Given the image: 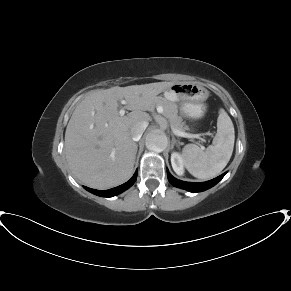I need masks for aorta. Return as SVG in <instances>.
<instances>
[{
    "label": "aorta",
    "mask_w": 291,
    "mask_h": 291,
    "mask_svg": "<svg viewBox=\"0 0 291 291\" xmlns=\"http://www.w3.org/2000/svg\"><path fill=\"white\" fill-rule=\"evenodd\" d=\"M146 147L152 151L161 152L166 149L168 139L165 134L152 131L146 136Z\"/></svg>",
    "instance_id": "obj_1"
}]
</instances>
